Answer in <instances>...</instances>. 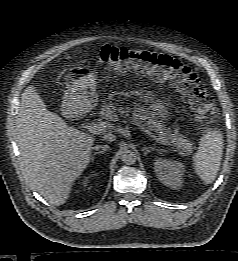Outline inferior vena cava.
Listing matches in <instances>:
<instances>
[{"label":"inferior vena cava","mask_w":238,"mask_h":261,"mask_svg":"<svg viewBox=\"0 0 238 261\" xmlns=\"http://www.w3.org/2000/svg\"><path fill=\"white\" fill-rule=\"evenodd\" d=\"M101 148H102V149H104V148L107 149L108 146H107V145H104V146L96 145V146L93 147V149H95V150H99V149H101Z\"/></svg>","instance_id":"1"}]
</instances>
